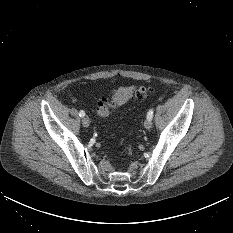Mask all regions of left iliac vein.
I'll use <instances>...</instances> for the list:
<instances>
[{
  "label": "left iliac vein",
  "mask_w": 233,
  "mask_h": 233,
  "mask_svg": "<svg viewBox=\"0 0 233 233\" xmlns=\"http://www.w3.org/2000/svg\"><path fill=\"white\" fill-rule=\"evenodd\" d=\"M144 126L146 129H150L152 127V120L151 119H146L144 122Z\"/></svg>",
  "instance_id": "left-iliac-vein-1"
}]
</instances>
